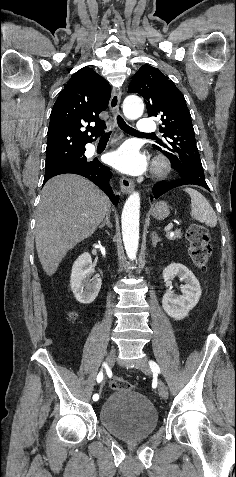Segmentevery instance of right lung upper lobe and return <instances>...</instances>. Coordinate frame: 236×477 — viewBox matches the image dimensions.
<instances>
[{"instance_id":"right-lung-upper-lobe-1","label":"right lung upper lobe","mask_w":236,"mask_h":477,"mask_svg":"<svg viewBox=\"0 0 236 477\" xmlns=\"http://www.w3.org/2000/svg\"><path fill=\"white\" fill-rule=\"evenodd\" d=\"M111 97L108 82L94 70L83 67L69 79L60 92L50 115L46 165H55L85 151L106 128L99 114L106 110ZM95 122V126H90ZM86 127V131L82 128ZM91 131V135L87 132Z\"/></svg>"}]
</instances>
